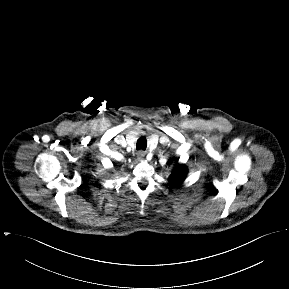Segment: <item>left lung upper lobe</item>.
Here are the masks:
<instances>
[{
  "label": "left lung upper lobe",
  "mask_w": 289,
  "mask_h": 289,
  "mask_svg": "<svg viewBox=\"0 0 289 289\" xmlns=\"http://www.w3.org/2000/svg\"><path fill=\"white\" fill-rule=\"evenodd\" d=\"M187 168L185 165L179 164L174 169L169 177V181L172 185L178 186L186 178Z\"/></svg>",
  "instance_id": "5c2ea615"
}]
</instances>
